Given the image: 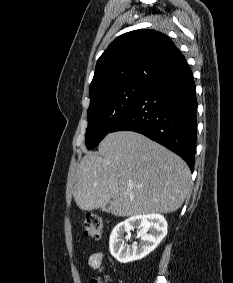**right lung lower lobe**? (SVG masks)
<instances>
[{
	"label": "right lung lower lobe",
	"mask_w": 233,
	"mask_h": 283,
	"mask_svg": "<svg viewBox=\"0 0 233 283\" xmlns=\"http://www.w3.org/2000/svg\"><path fill=\"white\" fill-rule=\"evenodd\" d=\"M196 112L193 73L184 59L153 79L110 132H139L181 156L193 171Z\"/></svg>",
	"instance_id": "98d812e1"
}]
</instances>
